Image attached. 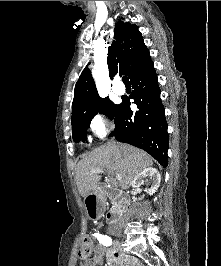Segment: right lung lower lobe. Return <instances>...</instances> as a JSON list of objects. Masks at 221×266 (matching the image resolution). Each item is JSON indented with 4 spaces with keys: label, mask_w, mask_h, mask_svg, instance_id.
<instances>
[{
    "label": "right lung lower lobe",
    "mask_w": 221,
    "mask_h": 266,
    "mask_svg": "<svg viewBox=\"0 0 221 266\" xmlns=\"http://www.w3.org/2000/svg\"><path fill=\"white\" fill-rule=\"evenodd\" d=\"M134 89L130 97L124 98L114 119L115 136L119 142L141 148L153 156L163 167L168 165V133L164 107L154 64L150 60L137 68L129 77ZM130 98L138 111L130 109Z\"/></svg>",
    "instance_id": "obj_1"
}]
</instances>
